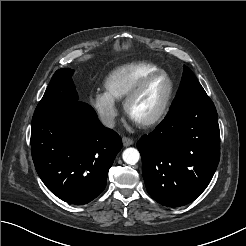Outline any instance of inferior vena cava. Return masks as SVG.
<instances>
[{"instance_id": "inferior-vena-cava-1", "label": "inferior vena cava", "mask_w": 246, "mask_h": 246, "mask_svg": "<svg viewBox=\"0 0 246 246\" xmlns=\"http://www.w3.org/2000/svg\"><path fill=\"white\" fill-rule=\"evenodd\" d=\"M100 120L102 124L106 127L113 128L115 126V120L112 116L102 115Z\"/></svg>"}]
</instances>
